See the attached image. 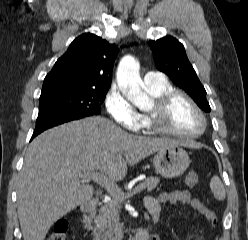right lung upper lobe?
Here are the masks:
<instances>
[{
	"label": "right lung upper lobe",
	"instance_id": "right-lung-upper-lobe-1",
	"mask_svg": "<svg viewBox=\"0 0 248 240\" xmlns=\"http://www.w3.org/2000/svg\"><path fill=\"white\" fill-rule=\"evenodd\" d=\"M117 53L115 44L94 34L77 37L45 77L42 92L61 88L108 90Z\"/></svg>",
	"mask_w": 248,
	"mask_h": 240
}]
</instances>
